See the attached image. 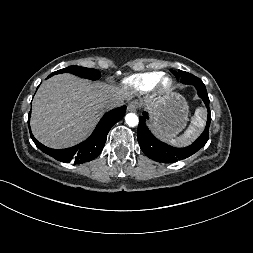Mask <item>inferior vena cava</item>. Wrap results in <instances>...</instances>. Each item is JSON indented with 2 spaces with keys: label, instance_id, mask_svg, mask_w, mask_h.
<instances>
[{
  "label": "inferior vena cava",
  "instance_id": "1",
  "mask_svg": "<svg viewBox=\"0 0 253 253\" xmlns=\"http://www.w3.org/2000/svg\"><path fill=\"white\" fill-rule=\"evenodd\" d=\"M118 106H120L119 102H110V103L107 104L108 109H112V108H115V107H118Z\"/></svg>",
  "mask_w": 253,
  "mask_h": 253
}]
</instances>
